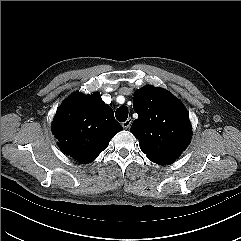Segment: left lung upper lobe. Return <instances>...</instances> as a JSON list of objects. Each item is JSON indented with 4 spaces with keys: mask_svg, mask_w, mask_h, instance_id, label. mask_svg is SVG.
I'll use <instances>...</instances> for the list:
<instances>
[{
    "mask_svg": "<svg viewBox=\"0 0 241 241\" xmlns=\"http://www.w3.org/2000/svg\"><path fill=\"white\" fill-rule=\"evenodd\" d=\"M133 108L139 117L131 132L152 162L173 163L190 141L191 124L183 104L162 88L147 85L137 90Z\"/></svg>",
    "mask_w": 241,
    "mask_h": 241,
    "instance_id": "5c2ea615",
    "label": "left lung upper lobe"
}]
</instances>
